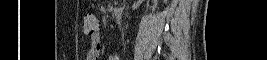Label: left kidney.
I'll return each mask as SVG.
<instances>
[{"mask_svg": "<svg viewBox=\"0 0 267 60\" xmlns=\"http://www.w3.org/2000/svg\"><path fill=\"white\" fill-rule=\"evenodd\" d=\"M168 0H163L164 3H167Z\"/></svg>", "mask_w": 267, "mask_h": 60, "instance_id": "left-kidney-1", "label": "left kidney"}]
</instances>
